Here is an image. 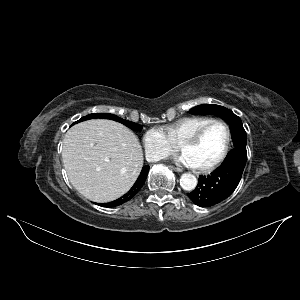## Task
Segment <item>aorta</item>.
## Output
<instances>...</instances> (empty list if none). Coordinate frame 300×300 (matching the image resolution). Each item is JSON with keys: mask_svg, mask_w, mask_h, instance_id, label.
<instances>
[{"mask_svg": "<svg viewBox=\"0 0 300 300\" xmlns=\"http://www.w3.org/2000/svg\"><path fill=\"white\" fill-rule=\"evenodd\" d=\"M180 185L184 190L192 191L197 185V179L191 173H184L180 178Z\"/></svg>", "mask_w": 300, "mask_h": 300, "instance_id": "aorta-1", "label": "aorta"}]
</instances>
